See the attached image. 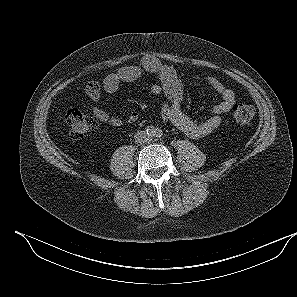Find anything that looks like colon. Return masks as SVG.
<instances>
[{"mask_svg": "<svg viewBox=\"0 0 297 297\" xmlns=\"http://www.w3.org/2000/svg\"><path fill=\"white\" fill-rule=\"evenodd\" d=\"M255 113L254 106L247 103H235L231 108L232 120L240 126L250 124ZM66 120L70 125V137L73 140L82 139L97 128V121L94 117L75 108L68 110Z\"/></svg>", "mask_w": 297, "mask_h": 297, "instance_id": "1", "label": "colon"}]
</instances>
